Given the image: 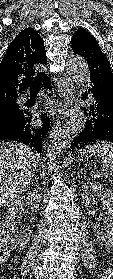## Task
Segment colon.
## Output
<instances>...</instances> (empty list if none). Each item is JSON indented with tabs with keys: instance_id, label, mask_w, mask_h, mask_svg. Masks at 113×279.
I'll return each instance as SVG.
<instances>
[{
	"instance_id": "5ec220e1",
	"label": "colon",
	"mask_w": 113,
	"mask_h": 279,
	"mask_svg": "<svg viewBox=\"0 0 113 279\" xmlns=\"http://www.w3.org/2000/svg\"><path fill=\"white\" fill-rule=\"evenodd\" d=\"M7 242H6V235L4 229L0 224V256H4L7 253Z\"/></svg>"
}]
</instances>
